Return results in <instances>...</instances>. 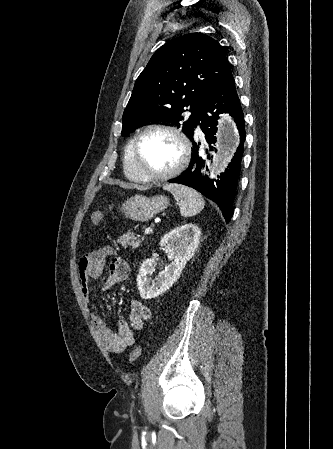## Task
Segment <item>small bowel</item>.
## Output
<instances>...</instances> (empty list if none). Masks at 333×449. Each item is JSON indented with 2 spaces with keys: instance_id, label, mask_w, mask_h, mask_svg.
<instances>
[{
  "instance_id": "small-bowel-1",
  "label": "small bowel",
  "mask_w": 333,
  "mask_h": 449,
  "mask_svg": "<svg viewBox=\"0 0 333 449\" xmlns=\"http://www.w3.org/2000/svg\"><path fill=\"white\" fill-rule=\"evenodd\" d=\"M112 247L105 246L92 253L82 256L78 263V273L83 296L89 300L91 296L90 281L98 277L104 270L108 256L114 255ZM129 274L127 262L119 257H114L108 265V274L104 278L101 289L110 290L117 283L125 280ZM151 310L138 300L130 302L128 319H119L116 330H112L100 317L91 311V319L96 331L106 347L113 352H122L135 342V332L144 327V322L150 318Z\"/></svg>"
}]
</instances>
